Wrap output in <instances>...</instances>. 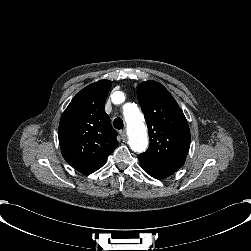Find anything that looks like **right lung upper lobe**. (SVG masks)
Returning a JSON list of instances; mask_svg holds the SVG:
<instances>
[{"instance_id": "cb5924a9", "label": "right lung upper lobe", "mask_w": 251, "mask_h": 251, "mask_svg": "<svg viewBox=\"0 0 251 251\" xmlns=\"http://www.w3.org/2000/svg\"><path fill=\"white\" fill-rule=\"evenodd\" d=\"M112 82L100 80L83 88L64 111L58 138L64 159L82 174L101 168L118 146L117 132L104 110Z\"/></svg>"}]
</instances>
